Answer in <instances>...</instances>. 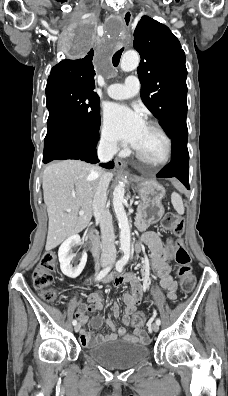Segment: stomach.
I'll return each mask as SVG.
<instances>
[{
	"mask_svg": "<svg viewBox=\"0 0 228 396\" xmlns=\"http://www.w3.org/2000/svg\"><path fill=\"white\" fill-rule=\"evenodd\" d=\"M135 188L139 194L141 204L138 208L143 212L138 213L142 216V220L154 223L158 221L164 214V208L161 203L165 196V189L155 180L142 181L135 180Z\"/></svg>",
	"mask_w": 228,
	"mask_h": 396,
	"instance_id": "1",
	"label": "stomach"
}]
</instances>
